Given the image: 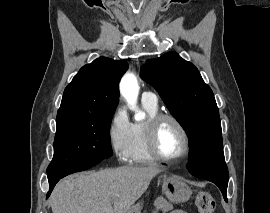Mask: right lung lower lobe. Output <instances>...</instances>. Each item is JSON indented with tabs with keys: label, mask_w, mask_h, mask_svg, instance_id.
<instances>
[{
	"label": "right lung lower lobe",
	"mask_w": 270,
	"mask_h": 213,
	"mask_svg": "<svg viewBox=\"0 0 270 213\" xmlns=\"http://www.w3.org/2000/svg\"><path fill=\"white\" fill-rule=\"evenodd\" d=\"M96 164L98 163H93V164H89V165H86V166H81V167H77V168H72V169H69L65 172H62V173H53V174H48V180H49V185H50V188H49V192L47 193V197L50 196L54 186L56 185V183L63 177L69 175V174H72V173H75V172H79V171H84V170H87L93 166H95Z\"/></svg>",
	"instance_id": "98d812e1"
}]
</instances>
